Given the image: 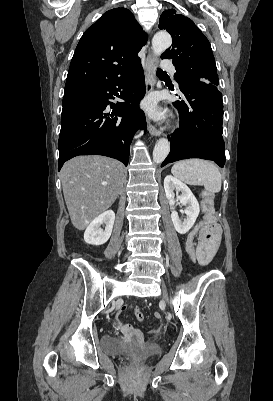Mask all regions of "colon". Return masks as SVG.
Masks as SVG:
<instances>
[{"label":"colon","mask_w":273,"mask_h":401,"mask_svg":"<svg viewBox=\"0 0 273 401\" xmlns=\"http://www.w3.org/2000/svg\"><path fill=\"white\" fill-rule=\"evenodd\" d=\"M201 229L204 231L201 235L203 241H219L220 233L218 232L219 226L215 218L211 215H207L204 220L200 223ZM135 318L138 321L143 320V308L138 306L135 310Z\"/></svg>","instance_id":"colon-1"}]
</instances>
